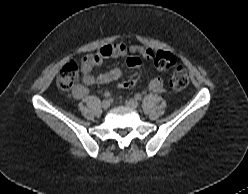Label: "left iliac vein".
<instances>
[{"label":"left iliac vein","mask_w":248,"mask_h":194,"mask_svg":"<svg viewBox=\"0 0 248 194\" xmlns=\"http://www.w3.org/2000/svg\"><path fill=\"white\" fill-rule=\"evenodd\" d=\"M126 105L130 108L136 109L139 106V103L135 99H129L126 101Z\"/></svg>","instance_id":"left-iliac-vein-1"}]
</instances>
